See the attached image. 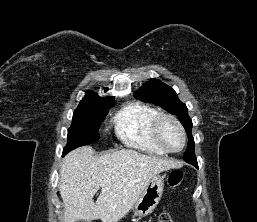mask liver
<instances>
[{
	"label": "liver",
	"instance_id": "liver-1",
	"mask_svg": "<svg viewBox=\"0 0 257 222\" xmlns=\"http://www.w3.org/2000/svg\"><path fill=\"white\" fill-rule=\"evenodd\" d=\"M180 166L178 161L158 159L132 149L97 157L89 146L77 148L64 157L60 170L64 222H118L155 175ZM99 188L101 193L94 203Z\"/></svg>",
	"mask_w": 257,
	"mask_h": 222
}]
</instances>
